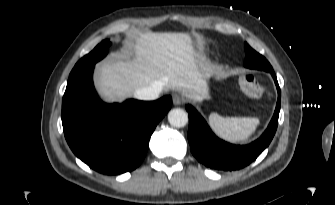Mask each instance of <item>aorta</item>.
<instances>
[{
	"instance_id": "aorta-1",
	"label": "aorta",
	"mask_w": 335,
	"mask_h": 205,
	"mask_svg": "<svg viewBox=\"0 0 335 205\" xmlns=\"http://www.w3.org/2000/svg\"><path fill=\"white\" fill-rule=\"evenodd\" d=\"M168 121L174 127H184L188 123V115L183 109L175 108L168 113Z\"/></svg>"
}]
</instances>
